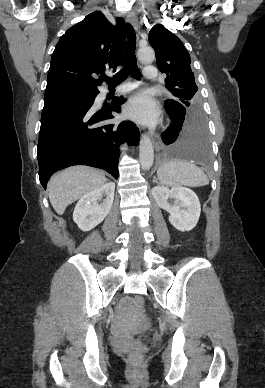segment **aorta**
<instances>
[{"label": "aorta", "instance_id": "1", "mask_svg": "<svg viewBox=\"0 0 265 388\" xmlns=\"http://www.w3.org/2000/svg\"><path fill=\"white\" fill-rule=\"evenodd\" d=\"M138 58L145 63H150L155 59V53L152 48H142L138 52ZM139 159L141 168L149 170L154 161V150L150 138L143 134L139 144Z\"/></svg>", "mask_w": 265, "mask_h": 388}]
</instances>
